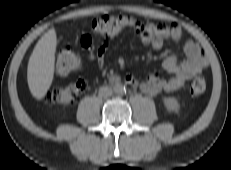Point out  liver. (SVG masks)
Returning <instances> with one entry per match:
<instances>
[{"instance_id": "1", "label": "liver", "mask_w": 231, "mask_h": 170, "mask_svg": "<svg viewBox=\"0 0 231 170\" xmlns=\"http://www.w3.org/2000/svg\"><path fill=\"white\" fill-rule=\"evenodd\" d=\"M56 46V31L51 28L37 42L29 58L27 81L30 92L36 99H42L52 84Z\"/></svg>"}]
</instances>
